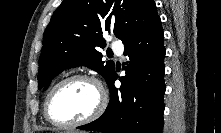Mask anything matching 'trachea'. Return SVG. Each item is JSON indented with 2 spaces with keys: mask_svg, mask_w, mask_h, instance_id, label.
Masks as SVG:
<instances>
[{
  "mask_svg": "<svg viewBox=\"0 0 221 133\" xmlns=\"http://www.w3.org/2000/svg\"><path fill=\"white\" fill-rule=\"evenodd\" d=\"M112 55H113L112 53L108 54V56H112Z\"/></svg>",
  "mask_w": 221,
  "mask_h": 133,
  "instance_id": "3493384b",
  "label": "trachea"
}]
</instances>
